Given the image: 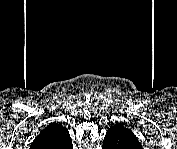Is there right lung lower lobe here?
Segmentation results:
<instances>
[{"label": "right lung lower lobe", "mask_w": 177, "mask_h": 149, "mask_svg": "<svg viewBox=\"0 0 177 149\" xmlns=\"http://www.w3.org/2000/svg\"><path fill=\"white\" fill-rule=\"evenodd\" d=\"M42 142L45 143L47 141L45 140V141H42ZM71 147H72V145L67 146V148H71Z\"/></svg>", "instance_id": "obj_1"}]
</instances>
